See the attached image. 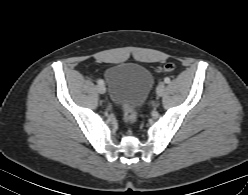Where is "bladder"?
I'll use <instances>...</instances> for the list:
<instances>
[{"instance_id": "1", "label": "bladder", "mask_w": 248, "mask_h": 195, "mask_svg": "<svg viewBox=\"0 0 248 195\" xmlns=\"http://www.w3.org/2000/svg\"><path fill=\"white\" fill-rule=\"evenodd\" d=\"M111 100L116 105H129L135 109L144 105L153 86L151 73L136 63H117L105 72Z\"/></svg>"}]
</instances>
